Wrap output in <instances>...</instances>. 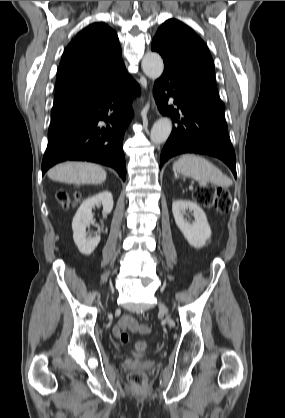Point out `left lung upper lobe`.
Segmentation results:
<instances>
[{
    "mask_svg": "<svg viewBox=\"0 0 285 418\" xmlns=\"http://www.w3.org/2000/svg\"><path fill=\"white\" fill-rule=\"evenodd\" d=\"M151 48H156L163 61L218 92L211 54L203 40L184 23L176 19L164 22L153 38Z\"/></svg>",
    "mask_w": 285,
    "mask_h": 418,
    "instance_id": "1",
    "label": "left lung upper lobe"
}]
</instances>
